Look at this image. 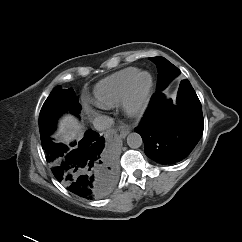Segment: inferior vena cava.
Here are the masks:
<instances>
[{
    "instance_id": "602c4592",
    "label": "inferior vena cava",
    "mask_w": 242,
    "mask_h": 242,
    "mask_svg": "<svg viewBox=\"0 0 242 242\" xmlns=\"http://www.w3.org/2000/svg\"><path fill=\"white\" fill-rule=\"evenodd\" d=\"M93 125L96 130L104 131L111 128L114 125V121L109 116L99 115L94 119Z\"/></svg>"
}]
</instances>
